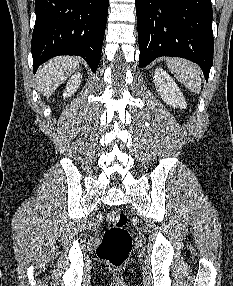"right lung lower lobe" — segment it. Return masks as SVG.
<instances>
[{"instance_id":"right-lung-lower-lobe-1","label":"right lung lower lobe","mask_w":233,"mask_h":286,"mask_svg":"<svg viewBox=\"0 0 233 286\" xmlns=\"http://www.w3.org/2000/svg\"><path fill=\"white\" fill-rule=\"evenodd\" d=\"M109 0H36L31 52L34 73L58 55H78L96 71Z\"/></svg>"}]
</instances>
